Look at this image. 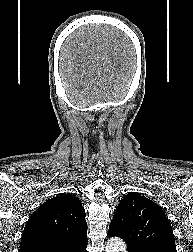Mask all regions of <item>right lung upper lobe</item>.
<instances>
[{"instance_id": "obj_1", "label": "right lung upper lobe", "mask_w": 193, "mask_h": 252, "mask_svg": "<svg viewBox=\"0 0 193 252\" xmlns=\"http://www.w3.org/2000/svg\"><path fill=\"white\" fill-rule=\"evenodd\" d=\"M85 216L77 197L47 200L26 223L19 252H75L88 242Z\"/></svg>"}]
</instances>
